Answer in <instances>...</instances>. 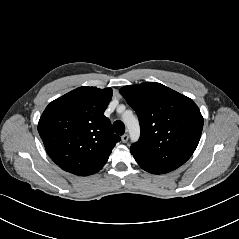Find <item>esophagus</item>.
Wrapping results in <instances>:
<instances>
[{"instance_id":"esophagus-1","label":"esophagus","mask_w":239,"mask_h":239,"mask_svg":"<svg viewBox=\"0 0 239 239\" xmlns=\"http://www.w3.org/2000/svg\"><path fill=\"white\" fill-rule=\"evenodd\" d=\"M128 139H129L128 134H124V135L121 137V140H122L123 143H126V142L128 141Z\"/></svg>"}]
</instances>
